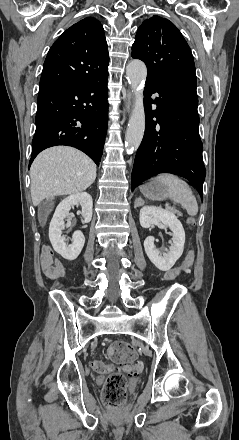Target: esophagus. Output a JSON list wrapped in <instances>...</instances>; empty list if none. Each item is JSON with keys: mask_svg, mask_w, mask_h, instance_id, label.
Instances as JSON below:
<instances>
[{"mask_svg": "<svg viewBox=\"0 0 239 440\" xmlns=\"http://www.w3.org/2000/svg\"><path fill=\"white\" fill-rule=\"evenodd\" d=\"M132 103H133V95H132V92L130 90H128V93H127V104H126V110L128 112L131 109Z\"/></svg>", "mask_w": 239, "mask_h": 440, "instance_id": "34e87169", "label": "esophagus"}]
</instances>
